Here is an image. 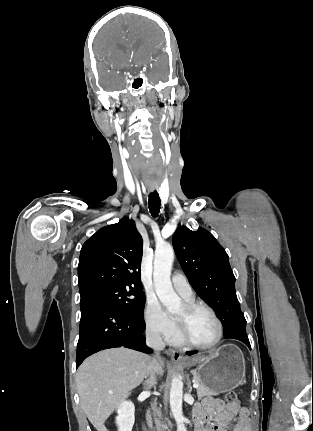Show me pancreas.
<instances>
[{
	"label": "pancreas",
	"instance_id": "cf45deb5",
	"mask_svg": "<svg viewBox=\"0 0 313 431\" xmlns=\"http://www.w3.org/2000/svg\"><path fill=\"white\" fill-rule=\"evenodd\" d=\"M193 376H194V382L198 383L199 385V387L197 388V396L199 399L203 398L204 396L217 395L216 392L209 390L203 384H201L196 372H193Z\"/></svg>",
	"mask_w": 313,
	"mask_h": 431
}]
</instances>
